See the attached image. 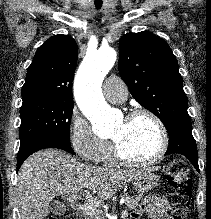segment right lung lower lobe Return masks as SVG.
Segmentation results:
<instances>
[{"instance_id": "98d812e1", "label": "right lung lower lobe", "mask_w": 211, "mask_h": 219, "mask_svg": "<svg viewBox=\"0 0 211 219\" xmlns=\"http://www.w3.org/2000/svg\"><path fill=\"white\" fill-rule=\"evenodd\" d=\"M45 148H58L75 154L71 148V144H66L64 142L49 138L38 139L20 147L17 159V171L27 157H29L32 153Z\"/></svg>"}]
</instances>
